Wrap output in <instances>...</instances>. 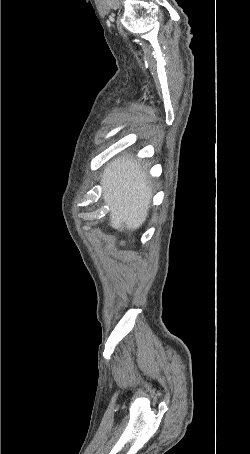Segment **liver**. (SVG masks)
<instances>
[{"instance_id":"1","label":"liver","mask_w":250,"mask_h":454,"mask_svg":"<svg viewBox=\"0 0 250 454\" xmlns=\"http://www.w3.org/2000/svg\"><path fill=\"white\" fill-rule=\"evenodd\" d=\"M145 168L132 156L118 157L104 169L103 199L110 206V225L134 231L146 221L152 188Z\"/></svg>"}]
</instances>
